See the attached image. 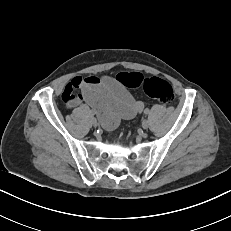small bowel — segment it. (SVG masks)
<instances>
[{"label": "small bowel", "instance_id": "obj_1", "mask_svg": "<svg viewBox=\"0 0 231 231\" xmlns=\"http://www.w3.org/2000/svg\"><path fill=\"white\" fill-rule=\"evenodd\" d=\"M62 98L69 108L86 103L108 130L116 128L122 119L135 117L144 108L142 101L136 100L123 85L109 76H76L64 86Z\"/></svg>", "mask_w": 231, "mask_h": 231}]
</instances>
